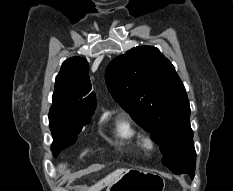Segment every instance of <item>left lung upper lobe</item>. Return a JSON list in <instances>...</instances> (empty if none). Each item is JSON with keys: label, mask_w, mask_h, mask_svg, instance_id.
Masks as SVG:
<instances>
[{"label": "left lung upper lobe", "mask_w": 233, "mask_h": 191, "mask_svg": "<svg viewBox=\"0 0 233 191\" xmlns=\"http://www.w3.org/2000/svg\"><path fill=\"white\" fill-rule=\"evenodd\" d=\"M112 97L160 146L172 172L196 166L190 106L170 61L153 46H139L113 59L106 69Z\"/></svg>", "instance_id": "5c2ea615"}]
</instances>
